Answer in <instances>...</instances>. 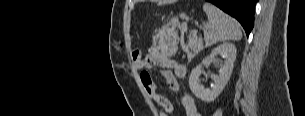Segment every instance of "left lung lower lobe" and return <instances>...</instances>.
Segmentation results:
<instances>
[{"label":"left lung lower lobe","mask_w":305,"mask_h":116,"mask_svg":"<svg viewBox=\"0 0 305 116\" xmlns=\"http://www.w3.org/2000/svg\"><path fill=\"white\" fill-rule=\"evenodd\" d=\"M224 12L236 18L246 31L247 36L254 24V11L257 0H207Z\"/></svg>","instance_id":"left-lung-lower-lobe-1"}]
</instances>
